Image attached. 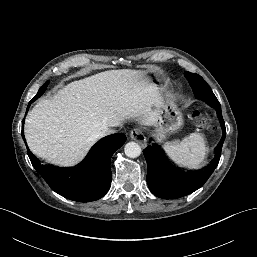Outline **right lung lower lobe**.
Segmentation results:
<instances>
[{
	"label": "right lung lower lobe",
	"instance_id": "obj_1",
	"mask_svg": "<svg viewBox=\"0 0 257 257\" xmlns=\"http://www.w3.org/2000/svg\"><path fill=\"white\" fill-rule=\"evenodd\" d=\"M125 141L126 137L120 133L104 137L81 163L70 168L45 165L31 151L28 155L33 167L56 193L73 201L90 202L108 192L112 180L110 160Z\"/></svg>",
	"mask_w": 257,
	"mask_h": 257
}]
</instances>
